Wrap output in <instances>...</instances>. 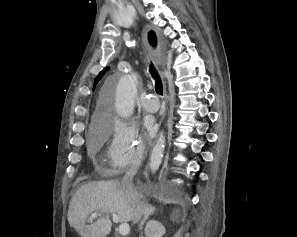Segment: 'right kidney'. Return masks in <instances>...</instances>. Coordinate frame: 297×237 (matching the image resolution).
I'll return each mask as SVG.
<instances>
[{
	"instance_id": "obj_1",
	"label": "right kidney",
	"mask_w": 297,
	"mask_h": 237,
	"mask_svg": "<svg viewBox=\"0 0 297 237\" xmlns=\"http://www.w3.org/2000/svg\"><path fill=\"white\" fill-rule=\"evenodd\" d=\"M165 232V227L156 220H150L145 227L146 237H162Z\"/></svg>"
}]
</instances>
